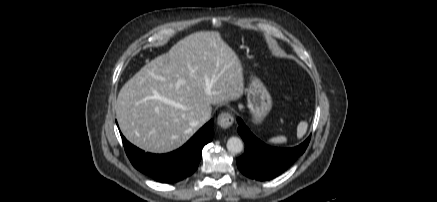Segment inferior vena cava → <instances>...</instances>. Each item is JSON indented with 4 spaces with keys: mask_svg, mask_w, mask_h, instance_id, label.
Here are the masks:
<instances>
[{
    "mask_svg": "<svg viewBox=\"0 0 437 202\" xmlns=\"http://www.w3.org/2000/svg\"><path fill=\"white\" fill-rule=\"evenodd\" d=\"M210 118H211V113L210 112H203L201 117H200V123L204 124L208 120H210Z\"/></svg>",
    "mask_w": 437,
    "mask_h": 202,
    "instance_id": "obj_1",
    "label": "inferior vena cava"
}]
</instances>
